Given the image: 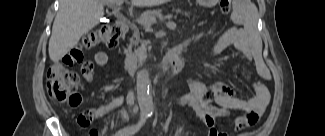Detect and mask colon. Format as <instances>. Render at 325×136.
Instances as JSON below:
<instances>
[{
	"label": "colon",
	"instance_id": "5ec220e1",
	"mask_svg": "<svg viewBox=\"0 0 325 136\" xmlns=\"http://www.w3.org/2000/svg\"><path fill=\"white\" fill-rule=\"evenodd\" d=\"M232 0H221L220 8L223 14L229 13ZM120 35L116 26L104 25L87 35L82 40L84 48L95 46L114 47ZM48 92L50 97L58 103H66L75 106L80 102L77 89L79 87V77L74 71L68 70L61 62H55L47 72ZM90 136H98L96 131H92Z\"/></svg>",
	"mask_w": 325,
	"mask_h": 136
}]
</instances>
